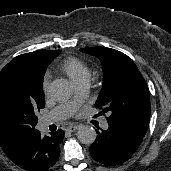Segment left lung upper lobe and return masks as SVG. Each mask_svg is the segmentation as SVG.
I'll return each instance as SVG.
<instances>
[{"label":"left lung upper lobe","instance_id":"5c2ea615","mask_svg":"<svg viewBox=\"0 0 171 171\" xmlns=\"http://www.w3.org/2000/svg\"><path fill=\"white\" fill-rule=\"evenodd\" d=\"M82 52L102 61L104 84L96 108L108 113V123L146 134L150 119L147 83L135 63L124 53L106 47H87Z\"/></svg>","mask_w":171,"mask_h":171}]
</instances>
